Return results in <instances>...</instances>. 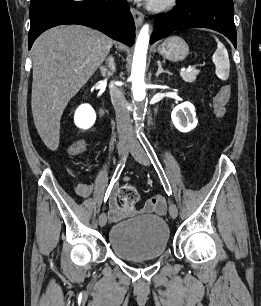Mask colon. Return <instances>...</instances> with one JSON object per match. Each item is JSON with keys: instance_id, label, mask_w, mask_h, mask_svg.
<instances>
[{"instance_id": "obj_1", "label": "colon", "mask_w": 261, "mask_h": 306, "mask_svg": "<svg viewBox=\"0 0 261 306\" xmlns=\"http://www.w3.org/2000/svg\"><path fill=\"white\" fill-rule=\"evenodd\" d=\"M231 86L224 84L214 95L212 99L213 112L216 117L223 118L226 115V105L231 97ZM85 149V143L83 141H77L73 143L69 149L70 154L77 155ZM119 199L121 202V208L126 213H132L139 201V194L136 188L131 184H125L119 191Z\"/></svg>"}]
</instances>
